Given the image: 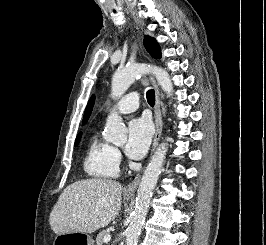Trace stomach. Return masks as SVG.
I'll use <instances>...</instances> for the list:
<instances>
[{"label": "stomach", "instance_id": "0dacf381", "mask_svg": "<svg viewBox=\"0 0 266 245\" xmlns=\"http://www.w3.org/2000/svg\"><path fill=\"white\" fill-rule=\"evenodd\" d=\"M131 199V197H127ZM57 242H72V245H94L88 233H56Z\"/></svg>", "mask_w": 266, "mask_h": 245}]
</instances>
